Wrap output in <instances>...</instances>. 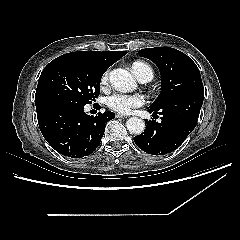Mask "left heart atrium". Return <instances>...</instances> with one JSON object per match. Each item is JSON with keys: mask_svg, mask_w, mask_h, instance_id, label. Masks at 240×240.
<instances>
[{"mask_svg": "<svg viewBox=\"0 0 240 240\" xmlns=\"http://www.w3.org/2000/svg\"><path fill=\"white\" fill-rule=\"evenodd\" d=\"M143 103L144 97L139 94L115 93L107 99L108 107L121 114H128Z\"/></svg>", "mask_w": 240, "mask_h": 240, "instance_id": "39dd6f15", "label": "left heart atrium"}]
</instances>
